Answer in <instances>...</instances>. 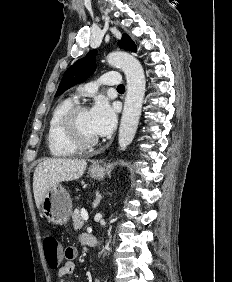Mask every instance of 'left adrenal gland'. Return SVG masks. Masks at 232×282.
<instances>
[{
  "mask_svg": "<svg viewBox=\"0 0 232 282\" xmlns=\"http://www.w3.org/2000/svg\"><path fill=\"white\" fill-rule=\"evenodd\" d=\"M101 199H102V195L99 193V191H97L96 192V199H95L94 204H93L94 207L98 206V204L100 203Z\"/></svg>",
  "mask_w": 232,
  "mask_h": 282,
  "instance_id": "a2214340",
  "label": "left adrenal gland"
}]
</instances>
